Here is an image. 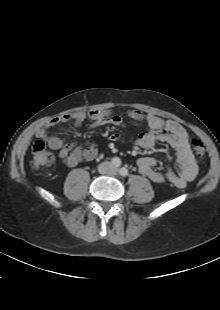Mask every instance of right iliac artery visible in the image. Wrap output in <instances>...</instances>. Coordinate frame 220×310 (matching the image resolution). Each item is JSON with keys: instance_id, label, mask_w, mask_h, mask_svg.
<instances>
[{"instance_id": "obj_1", "label": "right iliac artery", "mask_w": 220, "mask_h": 310, "mask_svg": "<svg viewBox=\"0 0 220 310\" xmlns=\"http://www.w3.org/2000/svg\"><path fill=\"white\" fill-rule=\"evenodd\" d=\"M112 164L115 166V167H119L121 165V161L118 157H114L112 159Z\"/></svg>"}]
</instances>
